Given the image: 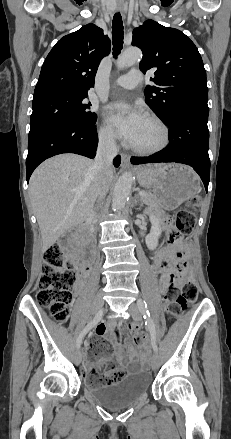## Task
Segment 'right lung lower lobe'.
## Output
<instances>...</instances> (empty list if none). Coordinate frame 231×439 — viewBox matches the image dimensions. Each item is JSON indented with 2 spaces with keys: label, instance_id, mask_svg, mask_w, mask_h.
I'll use <instances>...</instances> for the list:
<instances>
[{
  "label": "right lung lower lobe",
  "instance_id": "98d812e1",
  "mask_svg": "<svg viewBox=\"0 0 231 439\" xmlns=\"http://www.w3.org/2000/svg\"><path fill=\"white\" fill-rule=\"evenodd\" d=\"M95 123L78 120H59L30 130L28 139V155L26 159V178L45 159L61 153H75L94 158L97 150L98 136ZM117 156L113 163L120 165Z\"/></svg>",
  "mask_w": 231,
  "mask_h": 439
}]
</instances>
